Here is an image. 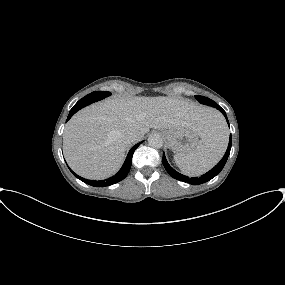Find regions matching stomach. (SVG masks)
Segmentation results:
<instances>
[{
  "label": "stomach",
  "mask_w": 285,
  "mask_h": 285,
  "mask_svg": "<svg viewBox=\"0 0 285 285\" xmlns=\"http://www.w3.org/2000/svg\"><path fill=\"white\" fill-rule=\"evenodd\" d=\"M162 134L169 148L181 154H188L193 151L198 144V135L189 129L163 130Z\"/></svg>",
  "instance_id": "1"
}]
</instances>
